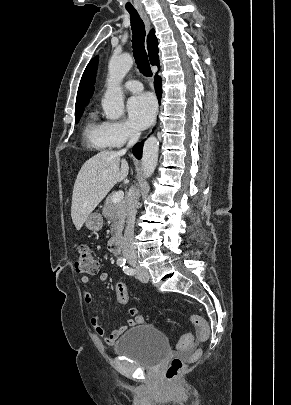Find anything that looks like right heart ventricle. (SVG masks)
<instances>
[{
    "mask_svg": "<svg viewBox=\"0 0 291 405\" xmlns=\"http://www.w3.org/2000/svg\"><path fill=\"white\" fill-rule=\"evenodd\" d=\"M105 122L99 120L96 112L89 113L84 126V138L94 148L104 150L112 147L106 137Z\"/></svg>",
    "mask_w": 291,
    "mask_h": 405,
    "instance_id": "1",
    "label": "right heart ventricle"
}]
</instances>
